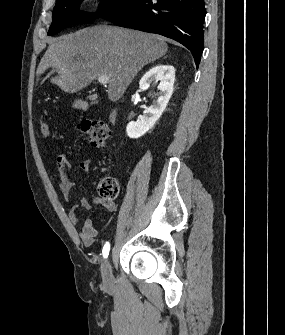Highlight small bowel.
<instances>
[{
	"label": "small bowel",
	"mask_w": 285,
	"mask_h": 335,
	"mask_svg": "<svg viewBox=\"0 0 285 335\" xmlns=\"http://www.w3.org/2000/svg\"><path fill=\"white\" fill-rule=\"evenodd\" d=\"M56 165L60 172V178L58 182V189L61 192L65 200H68L71 190L74 186V182L71 179L69 172L71 169V163L65 154H58L56 156ZM91 161L84 159L80 162L79 168L83 172L90 170ZM101 204L106 212H113L115 210V204L112 201L99 199L97 197H84L80 200L79 204L74 205L69 213L68 218L73 225H78L80 222L77 214V208L82 207L85 209L91 208L93 205ZM99 234V230L94 227L90 219H85L82 222L81 230L79 232L80 239L85 246H91L94 243L95 237Z\"/></svg>",
	"instance_id": "obj_1"
}]
</instances>
